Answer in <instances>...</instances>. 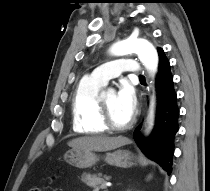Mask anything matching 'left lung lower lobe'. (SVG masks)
<instances>
[{"mask_svg":"<svg viewBox=\"0 0 210 191\" xmlns=\"http://www.w3.org/2000/svg\"><path fill=\"white\" fill-rule=\"evenodd\" d=\"M158 54L156 125L151 136L146 141H143L140 136L141 126L134 131L133 137L142 152L170 174L174 153V139L178 132L179 109L169 61L163 50H159Z\"/></svg>","mask_w":210,"mask_h":191,"instance_id":"obj_1","label":"left lung lower lobe"}]
</instances>
